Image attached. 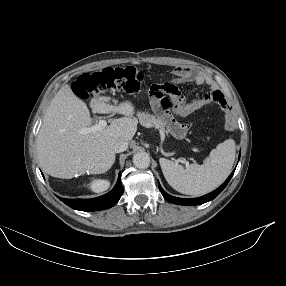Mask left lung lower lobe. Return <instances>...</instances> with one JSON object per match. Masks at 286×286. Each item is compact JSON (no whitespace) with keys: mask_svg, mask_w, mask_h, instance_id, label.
Instances as JSON below:
<instances>
[{"mask_svg":"<svg viewBox=\"0 0 286 286\" xmlns=\"http://www.w3.org/2000/svg\"><path fill=\"white\" fill-rule=\"evenodd\" d=\"M235 169L233 170V172L230 174V176L227 178V180L216 190H214L213 192L206 194L202 197H198V198H177L174 196L169 195L168 193H166L162 187L160 186L159 182H158V186H159V190L161 191L162 195L170 202L175 203V204H179V205H200L203 204L205 202H208L212 199H214L228 184V182L230 181L231 177L234 174Z\"/></svg>","mask_w":286,"mask_h":286,"instance_id":"0a47b994","label":"left lung lower lobe"}]
</instances>
